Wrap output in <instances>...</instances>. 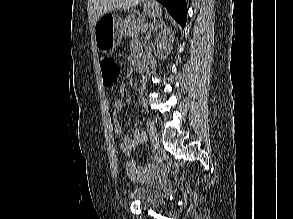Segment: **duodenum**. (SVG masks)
Returning a JSON list of instances; mask_svg holds the SVG:
<instances>
[{"label": "duodenum", "instance_id": "duodenum-1", "mask_svg": "<svg viewBox=\"0 0 293 219\" xmlns=\"http://www.w3.org/2000/svg\"><path fill=\"white\" fill-rule=\"evenodd\" d=\"M136 70H137V72L144 74L146 72L145 63L143 61H137Z\"/></svg>", "mask_w": 293, "mask_h": 219}]
</instances>
